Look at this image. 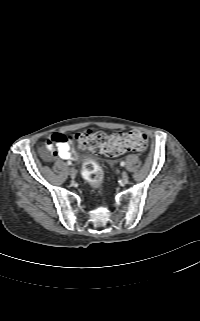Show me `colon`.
Wrapping results in <instances>:
<instances>
[{
  "label": "colon",
  "mask_w": 200,
  "mask_h": 321,
  "mask_svg": "<svg viewBox=\"0 0 200 321\" xmlns=\"http://www.w3.org/2000/svg\"><path fill=\"white\" fill-rule=\"evenodd\" d=\"M83 147L96 154L116 157L125 152H143L148 147L147 136L140 131L107 135L103 132L87 130L78 135ZM83 178L94 187L103 183L104 174L100 165L93 159H87L82 165Z\"/></svg>",
  "instance_id": "obj_1"
}]
</instances>
